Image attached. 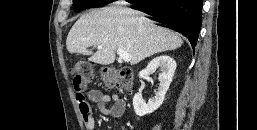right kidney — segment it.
Here are the masks:
<instances>
[{"instance_id":"right-kidney-1","label":"right kidney","mask_w":257,"mask_h":130,"mask_svg":"<svg viewBox=\"0 0 257 130\" xmlns=\"http://www.w3.org/2000/svg\"><path fill=\"white\" fill-rule=\"evenodd\" d=\"M176 62L173 58L167 55H162L151 60L147 67L139 73V78H147L150 73L156 69H161V74L158 77L159 87L155 97L149 99L146 104L142 98L141 92H138L133 97V107L136 115L144 116L157 110L165 99V94L169 89L176 70Z\"/></svg>"}]
</instances>
